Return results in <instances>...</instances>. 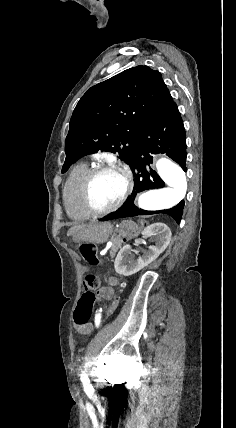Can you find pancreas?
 I'll return each instance as SVG.
<instances>
[{
	"label": "pancreas",
	"mask_w": 236,
	"mask_h": 428,
	"mask_svg": "<svg viewBox=\"0 0 236 428\" xmlns=\"http://www.w3.org/2000/svg\"><path fill=\"white\" fill-rule=\"evenodd\" d=\"M112 246L110 248V258H114L121 242V238H112Z\"/></svg>",
	"instance_id": "obj_1"
}]
</instances>
